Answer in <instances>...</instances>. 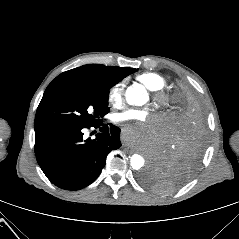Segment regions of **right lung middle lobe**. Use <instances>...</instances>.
<instances>
[{
  "mask_svg": "<svg viewBox=\"0 0 239 239\" xmlns=\"http://www.w3.org/2000/svg\"><path fill=\"white\" fill-rule=\"evenodd\" d=\"M117 82L64 84L46 89L37 108L35 127H90L109 113V89Z\"/></svg>",
  "mask_w": 239,
  "mask_h": 239,
  "instance_id": "right-lung-middle-lobe-1",
  "label": "right lung middle lobe"
}]
</instances>
